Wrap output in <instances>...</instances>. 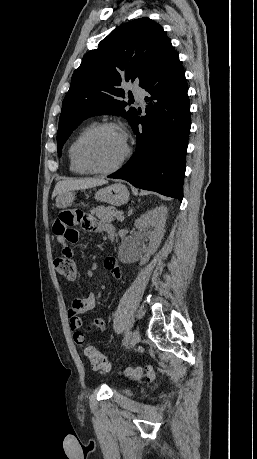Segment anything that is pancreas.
Segmentation results:
<instances>
[{
	"mask_svg": "<svg viewBox=\"0 0 257 459\" xmlns=\"http://www.w3.org/2000/svg\"><path fill=\"white\" fill-rule=\"evenodd\" d=\"M90 212L92 215H95L100 220L105 222L114 221V218L121 213L115 207L112 206H97L96 208H92Z\"/></svg>",
	"mask_w": 257,
	"mask_h": 459,
	"instance_id": "1",
	"label": "pancreas"
}]
</instances>
